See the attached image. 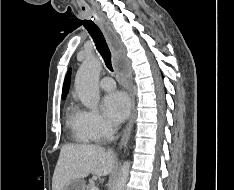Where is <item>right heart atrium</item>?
Masks as SVG:
<instances>
[{
    "mask_svg": "<svg viewBox=\"0 0 234 190\" xmlns=\"http://www.w3.org/2000/svg\"><path fill=\"white\" fill-rule=\"evenodd\" d=\"M80 120L96 141L106 140L115 130L114 125L95 110H80Z\"/></svg>",
    "mask_w": 234,
    "mask_h": 190,
    "instance_id": "right-heart-atrium-1",
    "label": "right heart atrium"
}]
</instances>
